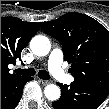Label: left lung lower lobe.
<instances>
[{
	"label": "left lung lower lobe",
	"mask_w": 109,
	"mask_h": 109,
	"mask_svg": "<svg viewBox=\"0 0 109 109\" xmlns=\"http://www.w3.org/2000/svg\"><path fill=\"white\" fill-rule=\"evenodd\" d=\"M62 95L52 102L54 109H96L107 98L109 92L81 82H72L70 86L58 83Z\"/></svg>",
	"instance_id": "0a47b994"
}]
</instances>
